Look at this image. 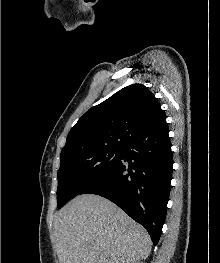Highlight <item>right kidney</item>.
<instances>
[{
  "mask_svg": "<svg viewBox=\"0 0 220 263\" xmlns=\"http://www.w3.org/2000/svg\"><path fill=\"white\" fill-rule=\"evenodd\" d=\"M130 263H143V262L134 260V261H132Z\"/></svg>",
  "mask_w": 220,
  "mask_h": 263,
  "instance_id": "right-kidney-1",
  "label": "right kidney"
}]
</instances>
